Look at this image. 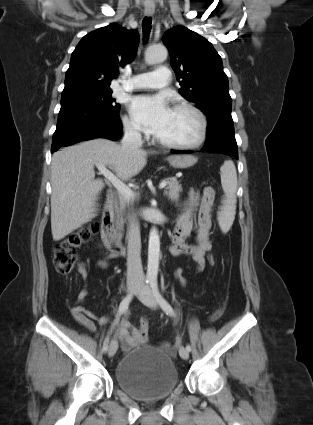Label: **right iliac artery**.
<instances>
[{"label": "right iliac artery", "instance_id": "1", "mask_svg": "<svg viewBox=\"0 0 313 425\" xmlns=\"http://www.w3.org/2000/svg\"><path fill=\"white\" fill-rule=\"evenodd\" d=\"M146 283H149V280H146ZM133 298V294L127 295L120 303L119 305V309H118V313L116 316V319L114 320L112 327H111V331L112 329H114L115 325L118 323L121 315L123 313L126 312V310L128 309L129 303L131 302ZM108 344H109V335H107V337L104 340V344H103V351L106 352L108 350Z\"/></svg>", "mask_w": 313, "mask_h": 425}]
</instances>
